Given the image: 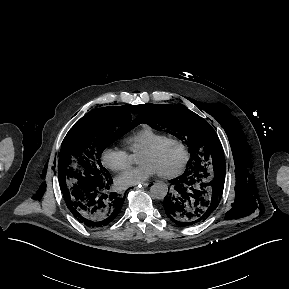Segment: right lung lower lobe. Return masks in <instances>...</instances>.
Returning a JSON list of instances; mask_svg holds the SVG:
<instances>
[{
	"instance_id": "obj_1",
	"label": "right lung lower lobe",
	"mask_w": 289,
	"mask_h": 289,
	"mask_svg": "<svg viewBox=\"0 0 289 289\" xmlns=\"http://www.w3.org/2000/svg\"><path fill=\"white\" fill-rule=\"evenodd\" d=\"M111 175L102 183L63 195L68 209L82 224L101 228L112 223L122 208L125 195L112 190Z\"/></svg>"
}]
</instances>
